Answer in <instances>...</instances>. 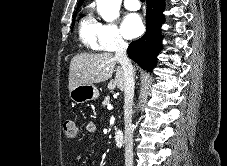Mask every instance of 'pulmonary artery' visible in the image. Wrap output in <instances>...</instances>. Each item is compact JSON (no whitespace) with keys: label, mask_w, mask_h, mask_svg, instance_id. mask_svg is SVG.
<instances>
[{"label":"pulmonary artery","mask_w":227,"mask_h":166,"mask_svg":"<svg viewBox=\"0 0 227 166\" xmlns=\"http://www.w3.org/2000/svg\"><path fill=\"white\" fill-rule=\"evenodd\" d=\"M124 6L130 11H137L141 5L139 0H124Z\"/></svg>","instance_id":"e3ab8cb5"}]
</instances>
